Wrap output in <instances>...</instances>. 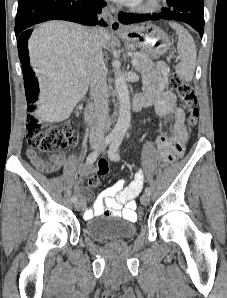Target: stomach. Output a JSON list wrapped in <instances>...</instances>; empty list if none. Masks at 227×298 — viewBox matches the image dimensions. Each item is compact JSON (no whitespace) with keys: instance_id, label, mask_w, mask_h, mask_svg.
<instances>
[{"instance_id":"0dacf381","label":"stomach","mask_w":227,"mask_h":298,"mask_svg":"<svg viewBox=\"0 0 227 298\" xmlns=\"http://www.w3.org/2000/svg\"><path fill=\"white\" fill-rule=\"evenodd\" d=\"M121 38L152 58H159L164 55L171 46V39L168 35L150 23L128 28L122 33Z\"/></svg>"}]
</instances>
